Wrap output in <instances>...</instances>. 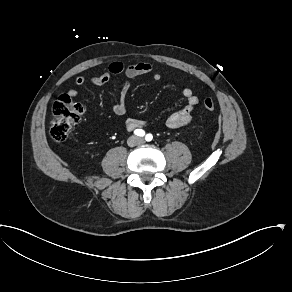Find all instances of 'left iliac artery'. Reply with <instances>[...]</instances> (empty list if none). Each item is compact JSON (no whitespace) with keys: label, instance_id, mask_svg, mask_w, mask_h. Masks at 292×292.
I'll use <instances>...</instances> for the list:
<instances>
[{"label":"left iliac artery","instance_id":"1","mask_svg":"<svg viewBox=\"0 0 292 292\" xmlns=\"http://www.w3.org/2000/svg\"><path fill=\"white\" fill-rule=\"evenodd\" d=\"M145 139H146V141H151L153 139L152 134H147Z\"/></svg>","mask_w":292,"mask_h":292}]
</instances>
